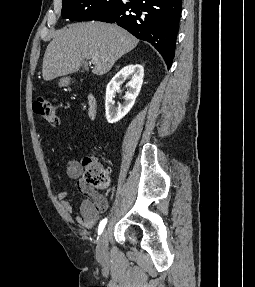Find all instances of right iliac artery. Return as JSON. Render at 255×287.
<instances>
[{"label": "right iliac artery", "mask_w": 255, "mask_h": 287, "mask_svg": "<svg viewBox=\"0 0 255 287\" xmlns=\"http://www.w3.org/2000/svg\"><path fill=\"white\" fill-rule=\"evenodd\" d=\"M106 223H107V219H103L100 222L99 227H98V234H101L103 232V229H104Z\"/></svg>", "instance_id": "82829eb1"}]
</instances>
